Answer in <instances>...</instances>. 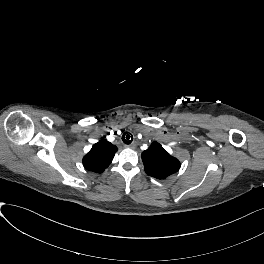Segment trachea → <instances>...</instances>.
<instances>
[{
	"instance_id": "obj_1",
	"label": "trachea",
	"mask_w": 264,
	"mask_h": 264,
	"mask_svg": "<svg viewBox=\"0 0 264 264\" xmlns=\"http://www.w3.org/2000/svg\"><path fill=\"white\" fill-rule=\"evenodd\" d=\"M133 140V136L132 134L126 132L123 134L122 136V141L125 143V144H130Z\"/></svg>"
}]
</instances>
